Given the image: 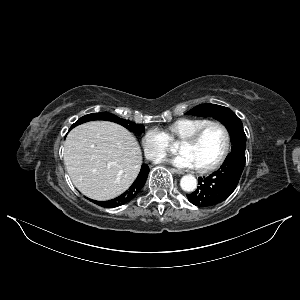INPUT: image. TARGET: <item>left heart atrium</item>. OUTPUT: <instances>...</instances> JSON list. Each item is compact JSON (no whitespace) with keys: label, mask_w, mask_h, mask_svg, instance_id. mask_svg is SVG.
<instances>
[{"label":"left heart atrium","mask_w":300,"mask_h":300,"mask_svg":"<svg viewBox=\"0 0 300 300\" xmlns=\"http://www.w3.org/2000/svg\"><path fill=\"white\" fill-rule=\"evenodd\" d=\"M169 163L174 165L177 168L181 169H195L197 168L193 159L188 154H180L170 160H168Z\"/></svg>","instance_id":"39dd6f15"}]
</instances>
